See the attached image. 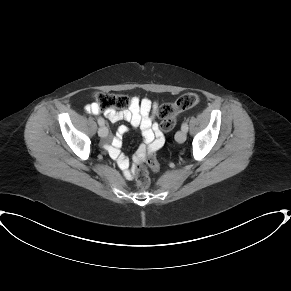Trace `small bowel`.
I'll list each match as a JSON object with an SVG mask.
<instances>
[{
  "mask_svg": "<svg viewBox=\"0 0 291 291\" xmlns=\"http://www.w3.org/2000/svg\"><path fill=\"white\" fill-rule=\"evenodd\" d=\"M157 107V103L153 100L133 97L128 108L123 110L109 109L104 111V115L112 122L124 120L129 122L133 127H139L144 141L147 144V149H149L155 142H159L160 147L163 144V134L159 125L154 121ZM86 109L92 114H99L101 112L96 103L88 105ZM127 130V126L122 125L119 127L117 134L111 138L110 144L107 145V149L112 156H118L117 148L120 144V138ZM144 151L145 147L142 146L140 152ZM118 164L123 171V176L127 180H131L135 177V172L130 168L128 159L119 157Z\"/></svg>",
  "mask_w": 291,
  "mask_h": 291,
  "instance_id": "obj_1",
  "label": "small bowel"
}]
</instances>
